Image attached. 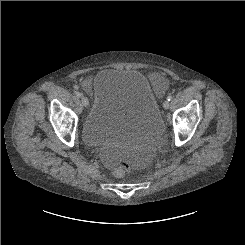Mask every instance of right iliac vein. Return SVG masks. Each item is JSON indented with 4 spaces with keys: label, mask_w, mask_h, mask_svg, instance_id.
I'll return each mask as SVG.
<instances>
[{
    "label": "right iliac vein",
    "mask_w": 245,
    "mask_h": 245,
    "mask_svg": "<svg viewBox=\"0 0 245 245\" xmlns=\"http://www.w3.org/2000/svg\"><path fill=\"white\" fill-rule=\"evenodd\" d=\"M81 103H82V105H83L84 107H87L88 104H89V101H88L87 97L82 96V97H81Z\"/></svg>",
    "instance_id": "63e3f726"
}]
</instances>
